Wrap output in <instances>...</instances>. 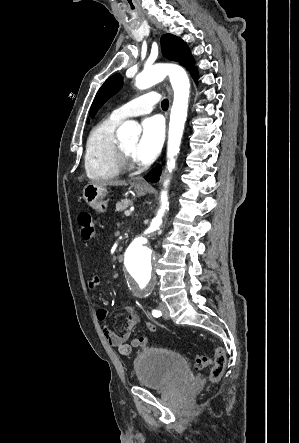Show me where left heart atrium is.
Masks as SVG:
<instances>
[{"mask_svg": "<svg viewBox=\"0 0 299 443\" xmlns=\"http://www.w3.org/2000/svg\"><path fill=\"white\" fill-rule=\"evenodd\" d=\"M164 137V123L160 116H151L142 123V134L135 149L136 160L151 162L158 154Z\"/></svg>", "mask_w": 299, "mask_h": 443, "instance_id": "1", "label": "left heart atrium"}]
</instances>
